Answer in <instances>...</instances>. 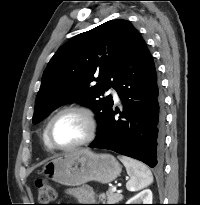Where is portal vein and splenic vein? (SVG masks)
<instances>
[{
  "label": "portal vein and splenic vein",
  "instance_id": "obj_1",
  "mask_svg": "<svg viewBox=\"0 0 200 205\" xmlns=\"http://www.w3.org/2000/svg\"><path fill=\"white\" fill-rule=\"evenodd\" d=\"M117 189L116 187H112V191L115 192Z\"/></svg>",
  "mask_w": 200,
  "mask_h": 205
}]
</instances>
